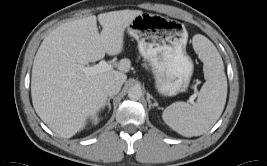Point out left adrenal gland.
<instances>
[{
	"instance_id": "a2214340",
	"label": "left adrenal gland",
	"mask_w": 267,
	"mask_h": 166,
	"mask_svg": "<svg viewBox=\"0 0 267 166\" xmlns=\"http://www.w3.org/2000/svg\"><path fill=\"white\" fill-rule=\"evenodd\" d=\"M147 101H148V104H149V109H150L151 107L157 106L156 103L152 104V102H151V96H150L149 93L147 94Z\"/></svg>"
}]
</instances>
